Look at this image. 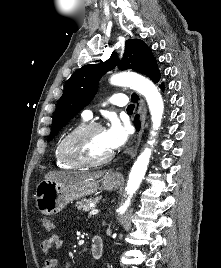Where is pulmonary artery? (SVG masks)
<instances>
[{
    "label": "pulmonary artery",
    "mask_w": 221,
    "mask_h": 268,
    "mask_svg": "<svg viewBox=\"0 0 221 268\" xmlns=\"http://www.w3.org/2000/svg\"><path fill=\"white\" fill-rule=\"evenodd\" d=\"M110 103L119 107H123L127 104L128 99L124 94H114L109 99ZM83 117L85 119H91L92 118V112L90 110H85L82 113Z\"/></svg>",
    "instance_id": "obj_1"
}]
</instances>
